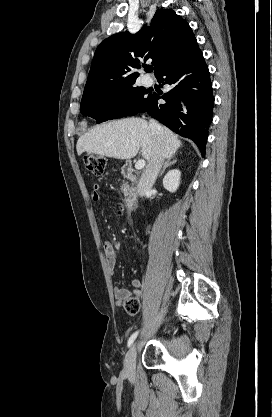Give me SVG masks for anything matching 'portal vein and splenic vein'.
I'll list each match as a JSON object with an SVG mask.
<instances>
[{"label": "portal vein and splenic vein", "mask_w": 272, "mask_h": 417, "mask_svg": "<svg viewBox=\"0 0 272 417\" xmlns=\"http://www.w3.org/2000/svg\"><path fill=\"white\" fill-rule=\"evenodd\" d=\"M144 166H145V160H144V159H140V160H138V161L136 162V164H135V168H136L137 170H141V169H143V168H144Z\"/></svg>", "instance_id": "obj_1"}]
</instances>
